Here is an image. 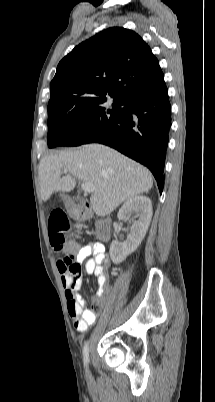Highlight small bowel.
Masks as SVG:
<instances>
[{"label": "small bowel", "instance_id": "small-bowel-1", "mask_svg": "<svg viewBox=\"0 0 215 402\" xmlns=\"http://www.w3.org/2000/svg\"><path fill=\"white\" fill-rule=\"evenodd\" d=\"M89 256L92 258H88ZM75 259L79 264V269L76 271H69L61 264V259L58 261L57 267L65 291L68 313L73 320L74 327L78 332H85L95 322L97 314L86 307L85 300L79 294L83 283L80 263L86 260L84 263L85 273L96 276L98 284L96 297L102 301L110 290L108 286L109 270L107 268L110 261L105 246L102 243L92 241L83 245L81 250H77Z\"/></svg>", "mask_w": 215, "mask_h": 402}]
</instances>
